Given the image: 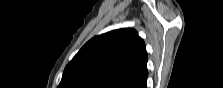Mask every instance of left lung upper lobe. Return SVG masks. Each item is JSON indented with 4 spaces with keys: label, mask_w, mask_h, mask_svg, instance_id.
<instances>
[{
    "label": "left lung upper lobe",
    "mask_w": 223,
    "mask_h": 88,
    "mask_svg": "<svg viewBox=\"0 0 223 88\" xmlns=\"http://www.w3.org/2000/svg\"><path fill=\"white\" fill-rule=\"evenodd\" d=\"M147 52L134 29L89 40L65 67L58 88H137L147 79Z\"/></svg>",
    "instance_id": "obj_1"
}]
</instances>
